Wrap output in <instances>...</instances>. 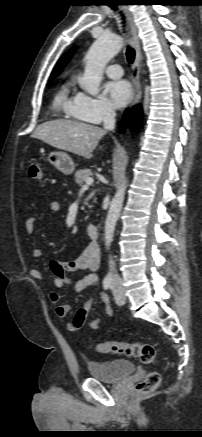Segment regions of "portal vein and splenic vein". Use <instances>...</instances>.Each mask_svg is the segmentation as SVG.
Listing matches in <instances>:
<instances>
[{
  "instance_id": "portal-vein-and-splenic-vein-1",
  "label": "portal vein and splenic vein",
  "mask_w": 202,
  "mask_h": 437,
  "mask_svg": "<svg viewBox=\"0 0 202 437\" xmlns=\"http://www.w3.org/2000/svg\"><path fill=\"white\" fill-rule=\"evenodd\" d=\"M93 182H94L93 178L88 177V178L85 180V185L82 186V190L87 189L89 185L93 184Z\"/></svg>"
}]
</instances>
